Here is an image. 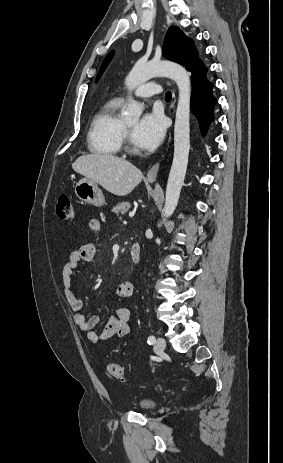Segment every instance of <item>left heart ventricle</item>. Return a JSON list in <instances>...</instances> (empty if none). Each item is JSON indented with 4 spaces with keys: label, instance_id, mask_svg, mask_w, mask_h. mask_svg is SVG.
<instances>
[{
    "label": "left heart ventricle",
    "instance_id": "b2bd125f",
    "mask_svg": "<svg viewBox=\"0 0 283 463\" xmlns=\"http://www.w3.org/2000/svg\"><path fill=\"white\" fill-rule=\"evenodd\" d=\"M136 124H137L136 121L126 122V125L129 128L130 133H131L132 143H133L134 147L138 149V146L135 144L134 139H133V130H134V127L136 126Z\"/></svg>",
    "mask_w": 283,
    "mask_h": 463
}]
</instances>
